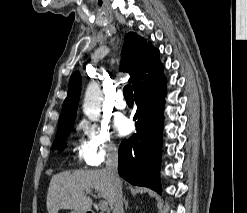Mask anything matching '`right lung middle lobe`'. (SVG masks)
I'll return each instance as SVG.
<instances>
[{
	"label": "right lung middle lobe",
	"mask_w": 247,
	"mask_h": 213,
	"mask_svg": "<svg viewBox=\"0 0 247 213\" xmlns=\"http://www.w3.org/2000/svg\"><path fill=\"white\" fill-rule=\"evenodd\" d=\"M72 126L73 125L58 127L57 135L53 143V149H57L59 151H62L64 149L65 141L67 139V136L71 132Z\"/></svg>",
	"instance_id": "right-lung-middle-lobe-1"
}]
</instances>
